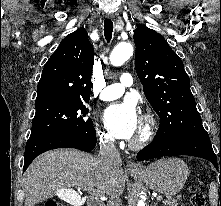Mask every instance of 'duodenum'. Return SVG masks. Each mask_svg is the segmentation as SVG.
Wrapping results in <instances>:
<instances>
[{
  "mask_svg": "<svg viewBox=\"0 0 221 206\" xmlns=\"http://www.w3.org/2000/svg\"><path fill=\"white\" fill-rule=\"evenodd\" d=\"M88 206H104V204L100 200L94 198L88 202Z\"/></svg>",
  "mask_w": 221,
  "mask_h": 206,
  "instance_id": "410a0bca",
  "label": "duodenum"
}]
</instances>
